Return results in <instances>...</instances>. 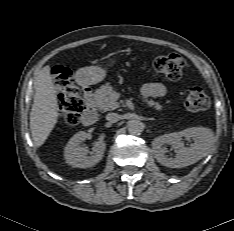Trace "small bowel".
<instances>
[{
  "mask_svg": "<svg viewBox=\"0 0 234 231\" xmlns=\"http://www.w3.org/2000/svg\"><path fill=\"white\" fill-rule=\"evenodd\" d=\"M143 94L146 97L160 98L166 94V87L162 83H150L144 86Z\"/></svg>",
  "mask_w": 234,
  "mask_h": 231,
  "instance_id": "1",
  "label": "small bowel"
}]
</instances>
